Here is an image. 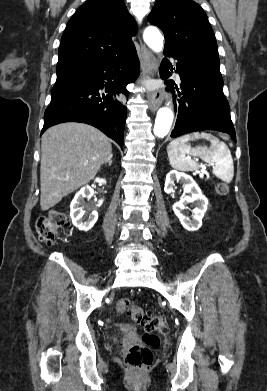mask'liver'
Masks as SVG:
<instances>
[{"label":"liver","mask_w":267,"mask_h":391,"mask_svg":"<svg viewBox=\"0 0 267 391\" xmlns=\"http://www.w3.org/2000/svg\"><path fill=\"white\" fill-rule=\"evenodd\" d=\"M40 206L46 211L92 180L112 158L111 140L82 123H63L42 136Z\"/></svg>","instance_id":"1"}]
</instances>
